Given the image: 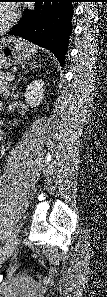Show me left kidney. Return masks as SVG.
<instances>
[{
  "label": "left kidney",
  "mask_w": 107,
  "mask_h": 297,
  "mask_svg": "<svg viewBox=\"0 0 107 297\" xmlns=\"http://www.w3.org/2000/svg\"><path fill=\"white\" fill-rule=\"evenodd\" d=\"M45 83L42 80H36L30 83L27 87L25 98L26 102L30 105H39L43 99Z\"/></svg>",
  "instance_id": "5707ae66"
}]
</instances>
